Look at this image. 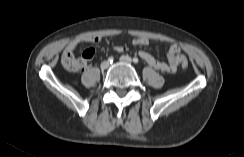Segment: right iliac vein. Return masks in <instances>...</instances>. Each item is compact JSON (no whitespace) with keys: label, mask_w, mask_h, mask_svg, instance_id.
<instances>
[{"label":"right iliac vein","mask_w":244,"mask_h":157,"mask_svg":"<svg viewBox=\"0 0 244 157\" xmlns=\"http://www.w3.org/2000/svg\"><path fill=\"white\" fill-rule=\"evenodd\" d=\"M109 67V62L108 61H103L100 65V68L102 70H106Z\"/></svg>","instance_id":"1"}]
</instances>
